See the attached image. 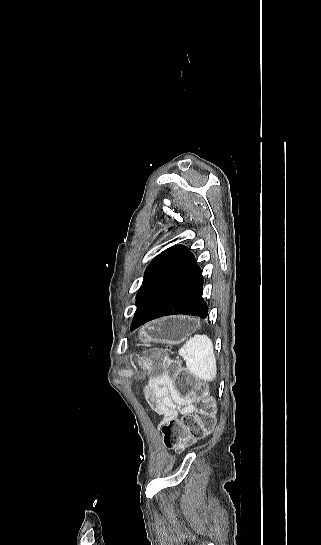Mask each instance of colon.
I'll return each instance as SVG.
<instances>
[{
    "instance_id": "1",
    "label": "colon",
    "mask_w": 321,
    "mask_h": 545,
    "mask_svg": "<svg viewBox=\"0 0 321 545\" xmlns=\"http://www.w3.org/2000/svg\"><path fill=\"white\" fill-rule=\"evenodd\" d=\"M140 374L150 378H169L172 389L182 397L192 398L195 411L183 419H171L161 427L166 447L182 452L190 445L208 436L214 427L216 404L204 383L186 372L178 362L152 352L140 364Z\"/></svg>"
}]
</instances>
